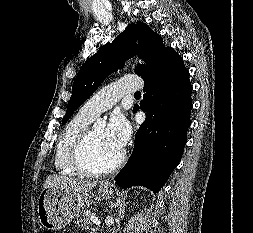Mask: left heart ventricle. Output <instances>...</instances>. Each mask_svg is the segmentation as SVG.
<instances>
[{"instance_id": "1", "label": "left heart ventricle", "mask_w": 253, "mask_h": 233, "mask_svg": "<svg viewBox=\"0 0 253 233\" xmlns=\"http://www.w3.org/2000/svg\"><path fill=\"white\" fill-rule=\"evenodd\" d=\"M120 152L106 140L104 127L92 129V138L86 154V160L90 166L103 167L114 161Z\"/></svg>"}]
</instances>
